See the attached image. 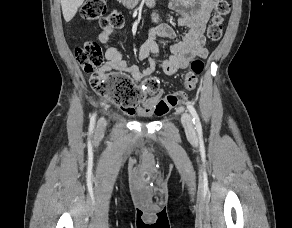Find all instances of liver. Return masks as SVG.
<instances>
[{"mask_svg": "<svg viewBox=\"0 0 292 228\" xmlns=\"http://www.w3.org/2000/svg\"><path fill=\"white\" fill-rule=\"evenodd\" d=\"M83 2L84 0H61L62 13L66 22H69L75 16Z\"/></svg>", "mask_w": 292, "mask_h": 228, "instance_id": "liver-1", "label": "liver"}]
</instances>
